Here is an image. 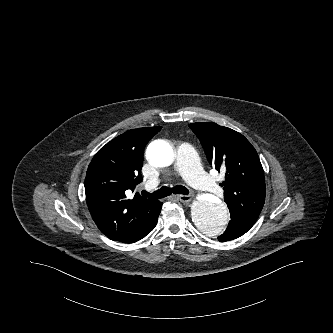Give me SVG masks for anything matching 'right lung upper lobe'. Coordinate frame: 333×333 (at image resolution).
<instances>
[{"label":"right lung upper lobe","mask_w":333,"mask_h":333,"mask_svg":"<svg viewBox=\"0 0 333 333\" xmlns=\"http://www.w3.org/2000/svg\"><path fill=\"white\" fill-rule=\"evenodd\" d=\"M162 127L129 130L103 146L93 157L85 178V194L90 214L107 237L117 240L132 221L158 200L138 193L127 198L142 181L143 151Z\"/></svg>","instance_id":"1"}]
</instances>
